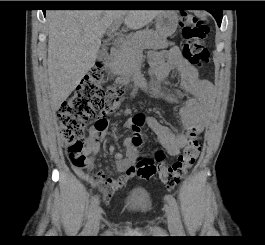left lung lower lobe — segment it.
Instances as JSON below:
<instances>
[{
    "label": "left lung lower lobe",
    "instance_id": "0a47b994",
    "mask_svg": "<svg viewBox=\"0 0 265 245\" xmlns=\"http://www.w3.org/2000/svg\"><path fill=\"white\" fill-rule=\"evenodd\" d=\"M216 19L218 25L220 26L222 21V10L221 9H210L208 10Z\"/></svg>",
    "mask_w": 265,
    "mask_h": 245
}]
</instances>
